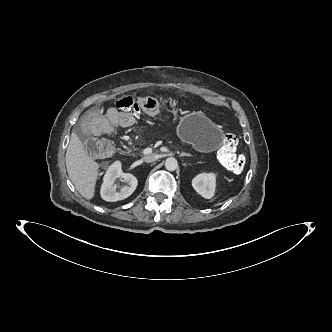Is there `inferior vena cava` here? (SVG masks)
Masks as SVG:
<instances>
[{"label":"inferior vena cava","instance_id":"602c4592","mask_svg":"<svg viewBox=\"0 0 332 332\" xmlns=\"http://www.w3.org/2000/svg\"><path fill=\"white\" fill-rule=\"evenodd\" d=\"M143 159L147 163L154 162L158 159V155L152 153V154H149V155H145L143 157Z\"/></svg>","mask_w":332,"mask_h":332}]
</instances>
